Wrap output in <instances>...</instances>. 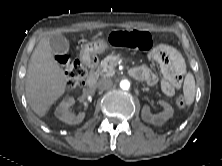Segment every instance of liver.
<instances>
[{
	"label": "liver",
	"instance_id": "1",
	"mask_svg": "<svg viewBox=\"0 0 222 166\" xmlns=\"http://www.w3.org/2000/svg\"><path fill=\"white\" fill-rule=\"evenodd\" d=\"M68 77L53 57L49 36L35 47L27 69L25 91L31 109L40 117L66 91Z\"/></svg>",
	"mask_w": 222,
	"mask_h": 166
}]
</instances>
